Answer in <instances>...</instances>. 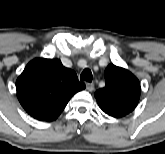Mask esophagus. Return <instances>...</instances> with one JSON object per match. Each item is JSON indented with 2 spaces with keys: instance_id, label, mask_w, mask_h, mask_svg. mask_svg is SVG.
I'll return each mask as SVG.
<instances>
[{
  "instance_id": "1",
  "label": "esophagus",
  "mask_w": 165,
  "mask_h": 154,
  "mask_svg": "<svg viewBox=\"0 0 165 154\" xmlns=\"http://www.w3.org/2000/svg\"><path fill=\"white\" fill-rule=\"evenodd\" d=\"M86 89L90 92L93 91L94 90V84L87 82L86 83Z\"/></svg>"
}]
</instances>
